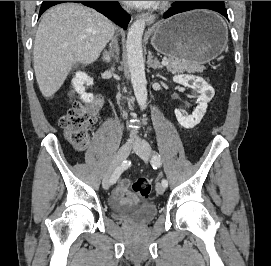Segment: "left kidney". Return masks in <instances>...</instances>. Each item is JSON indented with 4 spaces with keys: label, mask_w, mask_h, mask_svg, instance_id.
<instances>
[{
    "label": "left kidney",
    "mask_w": 271,
    "mask_h": 266,
    "mask_svg": "<svg viewBox=\"0 0 271 266\" xmlns=\"http://www.w3.org/2000/svg\"><path fill=\"white\" fill-rule=\"evenodd\" d=\"M173 81L184 86H190L189 81H194L192 87L198 89V106L190 116L185 117L178 109H175V115L179 124L186 129H191L202 120L206 112L207 103L211 100L214 90L202 78L193 75H177L173 77Z\"/></svg>",
    "instance_id": "1"
}]
</instances>
